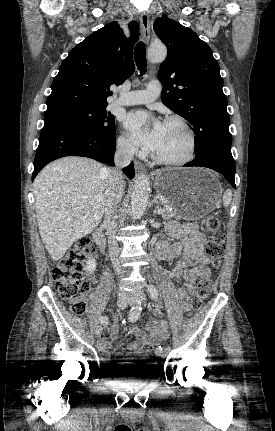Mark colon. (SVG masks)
Segmentation results:
<instances>
[{
	"label": "colon",
	"mask_w": 275,
	"mask_h": 431,
	"mask_svg": "<svg viewBox=\"0 0 275 431\" xmlns=\"http://www.w3.org/2000/svg\"><path fill=\"white\" fill-rule=\"evenodd\" d=\"M201 230L209 235L206 252L212 263L218 266L225 253L223 231L218 218L207 214L200 221ZM93 246L88 239H81L71 248L52 270L55 288L62 300L66 301L71 311L82 315L86 311V296L90 291V283L82 276L83 263ZM211 291V280L208 273L201 274L196 280L194 297L190 303L189 315L193 316L202 307L204 300ZM151 347H146L149 351ZM156 365L159 360L152 357L149 361Z\"/></svg>",
	"instance_id": "5ec220e1"
}]
</instances>
